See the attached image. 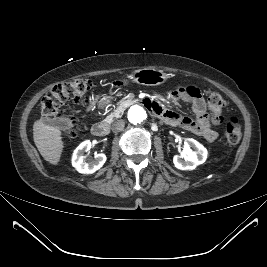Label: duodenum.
Here are the masks:
<instances>
[{
    "mask_svg": "<svg viewBox=\"0 0 267 267\" xmlns=\"http://www.w3.org/2000/svg\"><path fill=\"white\" fill-rule=\"evenodd\" d=\"M91 132L97 137L105 136L108 132V125L104 122H97L93 124Z\"/></svg>",
    "mask_w": 267,
    "mask_h": 267,
    "instance_id": "duodenum-1",
    "label": "duodenum"
}]
</instances>
